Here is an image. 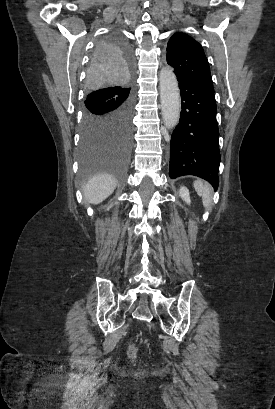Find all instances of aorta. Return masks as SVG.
I'll return each mask as SVG.
<instances>
[{"label":"aorta","mask_w":275,"mask_h":409,"mask_svg":"<svg viewBox=\"0 0 275 409\" xmlns=\"http://www.w3.org/2000/svg\"><path fill=\"white\" fill-rule=\"evenodd\" d=\"M160 100L165 128L176 126L181 110V98L177 78L171 66L160 70Z\"/></svg>","instance_id":"aorta-1"}]
</instances>
